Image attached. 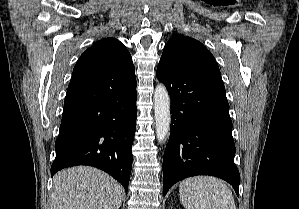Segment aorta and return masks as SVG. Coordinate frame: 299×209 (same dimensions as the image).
<instances>
[{
  "instance_id": "762f6f07",
  "label": "aorta",
  "mask_w": 299,
  "mask_h": 209,
  "mask_svg": "<svg viewBox=\"0 0 299 209\" xmlns=\"http://www.w3.org/2000/svg\"><path fill=\"white\" fill-rule=\"evenodd\" d=\"M154 113L156 137L159 143H163L170 132L171 113L170 97L162 83L158 84L154 91Z\"/></svg>"
}]
</instances>
